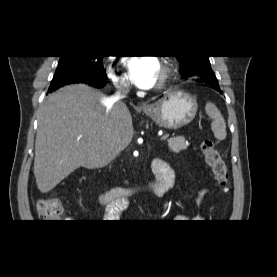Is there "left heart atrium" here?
Wrapping results in <instances>:
<instances>
[{
	"instance_id": "left-heart-atrium-1",
	"label": "left heart atrium",
	"mask_w": 277,
	"mask_h": 277,
	"mask_svg": "<svg viewBox=\"0 0 277 277\" xmlns=\"http://www.w3.org/2000/svg\"><path fill=\"white\" fill-rule=\"evenodd\" d=\"M131 80L140 88L148 89L154 86L158 79L160 65L153 57H133L126 62Z\"/></svg>"
}]
</instances>
